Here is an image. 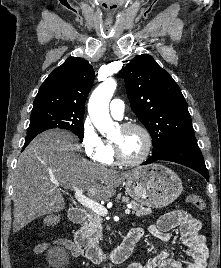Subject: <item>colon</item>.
<instances>
[{
    "label": "colon",
    "instance_id": "obj_1",
    "mask_svg": "<svg viewBox=\"0 0 221 268\" xmlns=\"http://www.w3.org/2000/svg\"><path fill=\"white\" fill-rule=\"evenodd\" d=\"M187 201L199 210H203L206 208V203L201 196L189 195L187 197ZM59 222H60L59 215L50 214L44 218L43 226L46 228H54L59 225Z\"/></svg>",
    "mask_w": 221,
    "mask_h": 268
}]
</instances>
